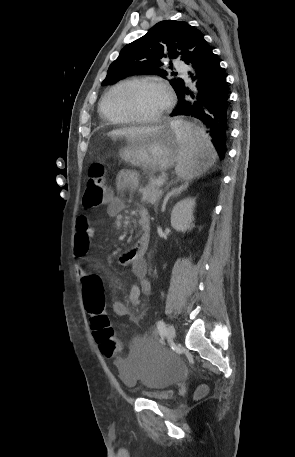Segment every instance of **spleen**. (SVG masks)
<instances>
[{
  "label": "spleen",
  "mask_w": 295,
  "mask_h": 457,
  "mask_svg": "<svg viewBox=\"0 0 295 457\" xmlns=\"http://www.w3.org/2000/svg\"><path fill=\"white\" fill-rule=\"evenodd\" d=\"M170 124L177 133L179 144L180 157L175 167L177 176L186 180L200 176L212 166L205 160L211 159L214 163L217 158L208 134L203 128H194L193 124L185 121L175 120Z\"/></svg>",
  "instance_id": "1"
}]
</instances>
